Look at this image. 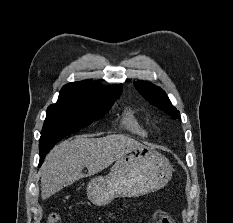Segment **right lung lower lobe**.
I'll return each instance as SVG.
<instances>
[{
	"mask_svg": "<svg viewBox=\"0 0 233 223\" xmlns=\"http://www.w3.org/2000/svg\"><path fill=\"white\" fill-rule=\"evenodd\" d=\"M49 150L50 149L45 150L44 152L40 153V163H39V166H41V164H42V162H43V160L45 158V155L48 153Z\"/></svg>",
	"mask_w": 233,
	"mask_h": 223,
	"instance_id": "right-lung-lower-lobe-1",
	"label": "right lung lower lobe"
}]
</instances>
